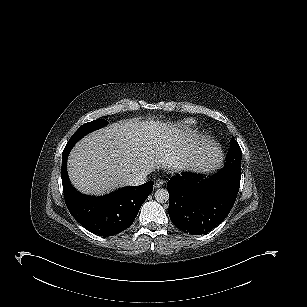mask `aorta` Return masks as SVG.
<instances>
[{
    "label": "aorta",
    "instance_id": "762f6f07",
    "mask_svg": "<svg viewBox=\"0 0 307 307\" xmlns=\"http://www.w3.org/2000/svg\"><path fill=\"white\" fill-rule=\"evenodd\" d=\"M154 197L158 203L163 204L169 201V192L167 189L160 188L155 191Z\"/></svg>",
    "mask_w": 307,
    "mask_h": 307
}]
</instances>
